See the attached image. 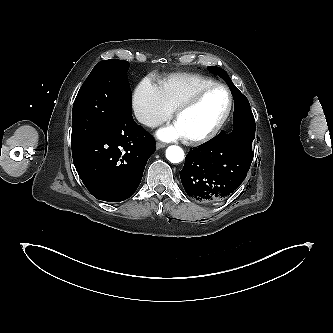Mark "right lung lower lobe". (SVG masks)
<instances>
[{"instance_id":"obj_1","label":"right lung lower lobe","mask_w":333,"mask_h":333,"mask_svg":"<svg viewBox=\"0 0 333 333\" xmlns=\"http://www.w3.org/2000/svg\"><path fill=\"white\" fill-rule=\"evenodd\" d=\"M155 143L131 111L81 145L72 148L80 179L97 199L120 202L138 188Z\"/></svg>"}]
</instances>
